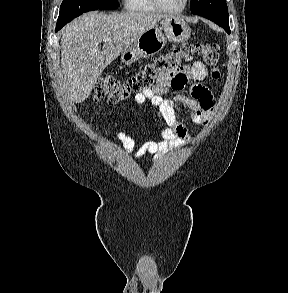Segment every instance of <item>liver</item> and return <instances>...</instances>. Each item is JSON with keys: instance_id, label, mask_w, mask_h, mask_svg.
<instances>
[{"instance_id": "obj_1", "label": "liver", "mask_w": 288, "mask_h": 293, "mask_svg": "<svg viewBox=\"0 0 288 293\" xmlns=\"http://www.w3.org/2000/svg\"><path fill=\"white\" fill-rule=\"evenodd\" d=\"M165 17L159 13L90 12L67 24L61 30V69L69 99L84 101L104 69ZM105 38L110 40L105 42Z\"/></svg>"}]
</instances>
